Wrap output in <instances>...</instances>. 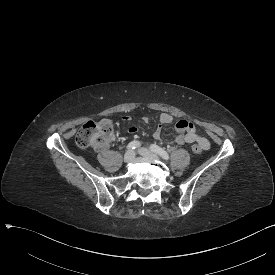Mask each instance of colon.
<instances>
[{"label": "colon", "instance_id": "5ec220e1", "mask_svg": "<svg viewBox=\"0 0 275 275\" xmlns=\"http://www.w3.org/2000/svg\"><path fill=\"white\" fill-rule=\"evenodd\" d=\"M114 137L113 123L110 120L88 121L77 132L75 142L80 148H94L103 150L104 144ZM206 149L205 144L193 145V151L200 153Z\"/></svg>", "mask_w": 275, "mask_h": 275}]
</instances>
